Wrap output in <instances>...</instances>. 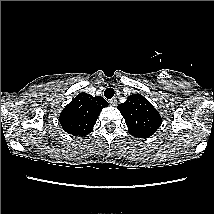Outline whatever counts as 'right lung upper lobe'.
<instances>
[{
    "mask_svg": "<svg viewBox=\"0 0 214 214\" xmlns=\"http://www.w3.org/2000/svg\"><path fill=\"white\" fill-rule=\"evenodd\" d=\"M107 106L108 102L101 96L80 93L62 110L59 122L68 134L86 136L92 132L101 110Z\"/></svg>",
    "mask_w": 214,
    "mask_h": 214,
    "instance_id": "cb5924a9",
    "label": "right lung upper lobe"
}]
</instances>
